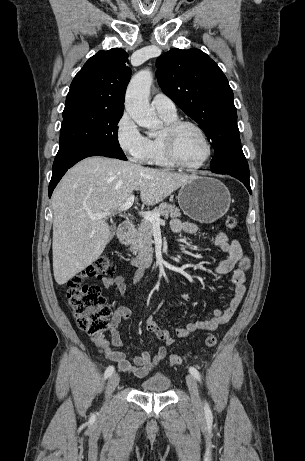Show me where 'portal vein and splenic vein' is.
<instances>
[{
	"label": "portal vein and splenic vein",
	"mask_w": 305,
	"mask_h": 461,
	"mask_svg": "<svg viewBox=\"0 0 305 461\" xmlns=\"http://www.w3.org/2000/svg\"><path fill=\"white\" fill-rule=\"evenodd\" d=\"M134 199H135L134 195H130L128 197V199L126 200V202L118 208V211H125V210L129 209L133 205ZM140 214L142 215V217L145 220L150 221L152 224H160L161 223L159 213H154V212H149L148 211V212H140ZM108 215H110L109 212L99 213V214H90L89 216H90V218L92 220H99L101 218L107 217Z\"/></svg>",
	"instance_id": "18ae733b"
}]
</instances>
